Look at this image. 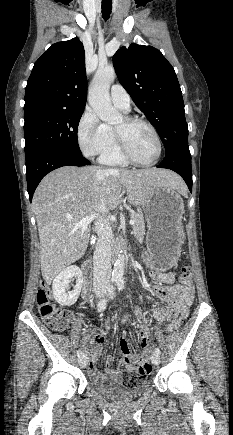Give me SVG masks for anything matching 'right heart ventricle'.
<instances>
[{"instance_id":"right-heart-ventricle-1","label":"right heart ventricle","mask_w":233,"mask_h":435,"mask_svg":"<svg viewBox=\"0 0 233 435\" xmlns=\"http://www.w3.org/2000/svg\"><path fill=\"white\" fill-rule=\"evenodd\" d=\"M108 135V146L105 151L100 155V162L108 166H121L125 167L129 164L120 153L118 148L113 128L106 125Z\"/></svg>"}]
</instances>
